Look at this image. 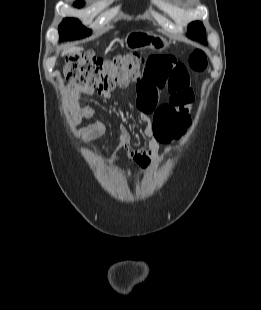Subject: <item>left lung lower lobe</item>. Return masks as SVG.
Returning a JSON list of instances; mask_svg holds the SVG:
<instances>
[{
    "instance_id": "left-lung-lower-lobe-1",
    "label": "left lung lower lobe",
    "mask_w": 261,
    "mask_h": 310,
    "mask_svg": "<svg viewBox=\"0 0 261 310\" xmlns=\"http://www.w3.org/2000/svg\"><path fill=\"white\" fill-rule=\"evenodd\" d=\"M193 39L200 40L201 42L206 44L205 35L195 36Z\"/></svg>"
}]
</instances>
